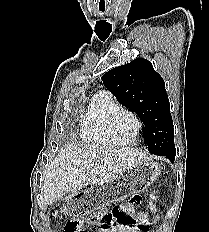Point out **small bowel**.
Masks as SVG:
<instances>
[{"instance_id":"c3829d8e","label":"small bowel","mask_w":209,"mask_h":232,"mask_svg":"<svg viewBox=\"0 0 209 232\" xmlns=\"http://www.w3.org/2000/svg\"><path fill=\"white\" fill-rule=\"evenodd\" d=\"M140 194H131V198H128V201L126 202L125 208L127 209V213H136V209L140 205L139 202ZM149 214L146 211L141 212L138 215V225L133 228H126V227H105L100 225L99 232H148L149 226L145 225L146 221L150 222ZM158 219V216L155 217L156 221ZM151 224V222H150Z\"/></svg>"}]
</instances>
